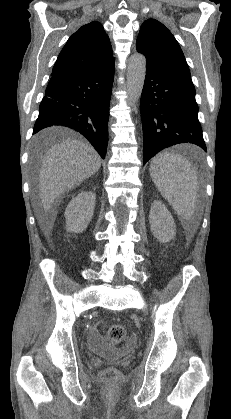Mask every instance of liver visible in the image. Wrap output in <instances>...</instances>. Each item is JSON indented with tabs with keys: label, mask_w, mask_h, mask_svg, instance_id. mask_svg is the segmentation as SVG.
<instances>
[{
	"label": "liver",
	"mask_w": 231,
	"mask_h": 419,
	"mask_svg": "<svg viewBox=\"0 0 231 419\" xmlns=\"http://www.w3.org/2000/svg\"><path fill=\"white\" fill-rule=\"evenodd\" d=\"M47 135V131L38 134L35 143H41ZM100 166L101 158L95 149L77 139H65L46 153L39 174L41 212L37 215L45 235H49L53 226L55 200L94 175Z\"/></svg>",
	"instance_id": "1"
}]
</instances>
